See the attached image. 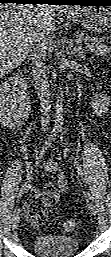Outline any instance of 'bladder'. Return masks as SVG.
<instances>
[{"label": "bladder", "instance_id": "1", "mask_svg": "<svg viewBox=\"0 0 111 257\" xmlns=\"http://www.w3.org/2000/svg\"><path fill=\"white\" fill-rule=\"evenodd\" d=\"M33 251L40 257H71L79 249L74 237L39 235L32 242Z\"/></svg>", "mask_w": 111, "mask_h": 257}]
</instances>
